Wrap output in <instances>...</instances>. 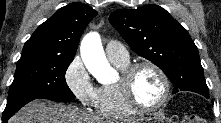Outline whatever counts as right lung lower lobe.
<instances>
[{
	"instance_id": "right-lung-lower-lobe-1",
	"label": "right lung lower lobe",
	"mask_w": 221,
	"mask_h": 123,
	"mask_svg": "<svg viewBox=\"0 0 221 123\" xmlns=\"http://www.w3.org/2000/svg\"><path fill=\"white\" fill-rule=\"evenodd\" d=\"M9 118H10V116H6V117L3 116V120H5V121H7Z\"/></svg>"
}]
</instances>
